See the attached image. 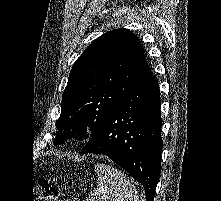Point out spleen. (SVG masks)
Returning <instances> with one entry per match:
<instances>
[{
  "instance_id": "1",
  "label": "spleen",
  "mask_w": 221,
  "mask_h": 201,
  "mask_svg": "<svg viewBox=\"0 0 221 201\" xmlns=\"http://www.w3.org/2000/svg\"><path fill=\"white\" fill-rule=\"evenodd\" d=\"M96 187L90 192L89 201H138L136 188L127 176L115 167L96 164Z\"/></svg>"
}]
</instances>
